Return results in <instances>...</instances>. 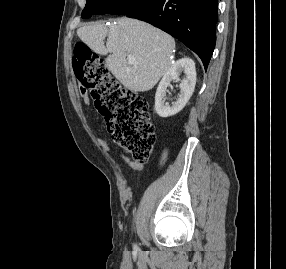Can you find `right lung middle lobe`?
Instances as JSON below:
<instances>
[{
    "mask_svg": "<svg viewBox=\"0 0 286 269\" xmlns=\"http://www.w3.org/2000/svg\"><path fill=\"white\" fill-rule=\"evenodd\" d=\"M151 0H86V6L82 12V18H88L97 14L128 15Z\"/></svg>",
    "mask_w": 286,
    "mask_h": 269,
    "instance_id": "dd1d6c3e",
    "label": "right lung middle lobe"
}]
</instances>
